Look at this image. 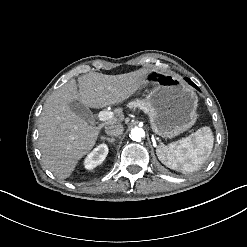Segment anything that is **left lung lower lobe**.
Listing matches in <instances>:
<instances>
[{
  "label": "left lung lower lobe",
  "mask_w": 247,
  "mask_h": 247,
  "mask_svg": "<svg viewBox=\"0 0 247 247\" xmlns=\"http://www.w3.org/2000/svg\"><path fill=\"white\" fill-rule=\"evenodd\" d=\"M185 80L192 86H194L195 88H197V86L189 79V78H185ZM198 89V88H197Z\"/></svg>",
  "instance_id": "left-lung-lower-lobe-1"
}]
</instances>
